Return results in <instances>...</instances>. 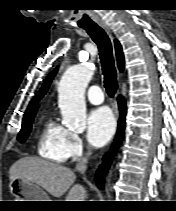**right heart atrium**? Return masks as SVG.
I'll return each mask as SVG.
<instances>
[{
  "instance_id": "obj_1",
  "label": "right heart atrium",
  "mask_w": 176,
  "mask_h": 211,
  "mask_svg": "<svg viewBox=\"0 0 176 211\" xmlns=\"http://www.w3.org/2000/svg\"><path fill=\"white\" fill-rule=\"evenodd\" d=\"M85 145L82 138L73 132L68 131L66 140V154L67 158H79L84 154Z\"/></svg>"
}]
</instances>
